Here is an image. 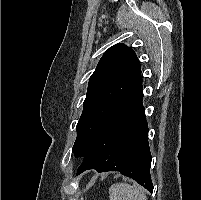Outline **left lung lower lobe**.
Segmentation results:
<instances>
[{"label": "left lung lower lobe", "mask_w": 201, "mask_h": 200, "mask_svg": "<svg viewBox=\"0 0 201 200\" xmlns=\"http://www.w3.org/2000/svg\"><path fill=\"white\" fill-rule=\"evenodd\" d=\"M142 82L106 117L83 157L77 175L88 169L118 171L153 192L148 125Z\"/></svg>", "instance_id": "1"}]
</instances>
